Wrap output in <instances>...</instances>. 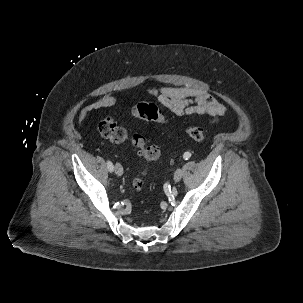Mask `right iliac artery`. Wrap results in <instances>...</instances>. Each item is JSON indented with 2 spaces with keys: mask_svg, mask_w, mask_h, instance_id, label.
<instances>
[{
  "mask_svg": "<svg viewBox=\"0 0 303 303\" xmlns=\"http://www.w3.org/2000/svg\"><path fill=\"white\" fill-rule=\"evenodd\" d=\"M107 168L110 172H113V170H114V166H113L112 162L109 160L107 161Z\"/></svg>",
  "mask_w": 303,
  "mask_h": 303,
  "instance_id": "obj_1",
  "label": "right iliac artery"
}]
</instances>
